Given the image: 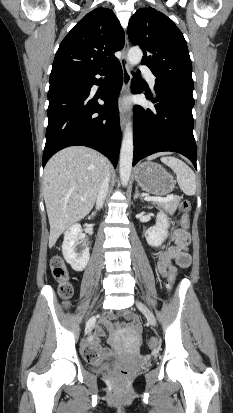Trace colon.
<instances>
[{"instance_id": "5ec220e1", "label": "colon", "mask_w": 233, "mask_h": 413, "mask_svg": "<svg viewBox=\"0 0 233 413\" xmlns=\"http://www.w3.org/2000/svg\"><path fill=\"white\" fill-rule=\"evenodd\" d=\"M180 210L182 212V217H181V227L184 232L187 233V229L189 226V217L188 213L190 211V202L188 200H182L180 202ZM51 271L53 277L56 279V281L59 283V293L61 297L65 300V303L68 304V299L72 296L73 294V286L69 281V275L67 272V269L65 267L64 262L62 261L61 258L55 257L51 261ZM175 279V274L172 272L170 273V276L168 280L170 281V288L172 289L173 283ZM148 347L152 350L156 347V342L152 339L148 341ZM87 359L93 363H97L100 360V356L95 355V354H89L86 356Z\"/></svg>"}]
</instances>
